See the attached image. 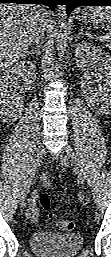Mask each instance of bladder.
Returning a JSON list of instances; mask_svg holds the SVG:
<instances>
[{"instance_id": "obj_1", "label": "bladder", "mask_w": 111, "mask_h": 257, "mask_svg": "<svg viewBox=\"0 0 111 257\" xmlns=\"http://www.w3.org/2000/svg\"><path fill=\"white\" fill-rule=\"evenodd\" d=\"M83 242L78 233L36 232L29 246L40 257H73L81 251Z\"/></svg>"}]
</instances>
